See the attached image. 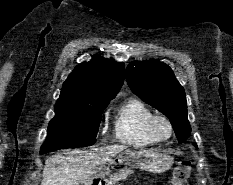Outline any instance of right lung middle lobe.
<instances>
[{
  "label": "right lung middle lobe",
  "instance_id": "right-lung-middle-lobe-1",
  "mask_svg": "<svg viewBox=\"0 0 233 185\" xmlns=\"http://www.w3.org/2000/svg\"><path fill=\"white\" fill-rule=\"evenodd\" d=\"M110 101L78 103L59 100L55 117L48 126V135L40 154L63 148L86 147L96 142L101 114Z\"/></svg>",
  "mask_w": 233,
  "mask_h": 185
}]
</instances>
